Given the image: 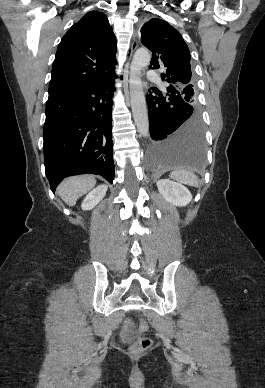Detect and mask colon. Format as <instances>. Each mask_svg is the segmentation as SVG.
Wrapping results in <instances>:
<instances>
[{"mask_svg": "<svg viewBox=\"0 0 265 388\" xmlns=\"http://www.w3.org/2000/svg\"><path fill=\"white\" fill-rule=\"evenodd\" d=\"M149 329V324L145 319H142L139 323L138 330L140 333H145ZM152 344V340L149 337L141 336L139 337L134 345L132 346V350L134 352H140L148 349Z\"/></svg>", "mask_w": 265, "mask_h": 388, "instance_id": "obj_1", "label": "colon"}]
</instances>
